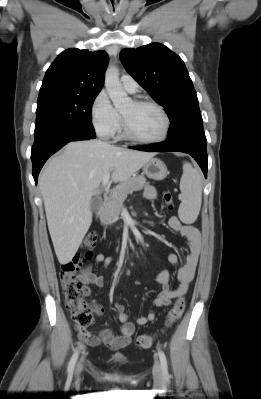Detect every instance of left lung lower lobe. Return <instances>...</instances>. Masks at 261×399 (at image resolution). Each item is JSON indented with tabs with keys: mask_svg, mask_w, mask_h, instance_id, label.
<instances>
[{
	"mask_svg": "<svg viewBox=\"0 0 261 399\" xmlns=\"http://www.w3.org/2000/svg\"><path fill=\"white\" fill-rule=\"evenodd\" d=\"M207 140L204 131L197 132L179 140H166L146 146L132 147V149L153 152H184L190 154L201 167L207 177Z\"/></svg>",
	"mask_w": 261,
	"mask_h": 399,
	"instance_id": "1",
	"label": "left lung lower lobe"
}]
</instances>
